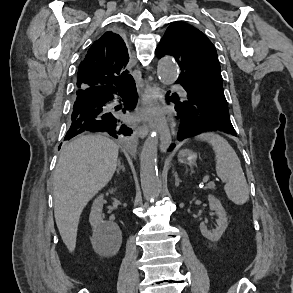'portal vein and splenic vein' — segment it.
I'll return each instance as SVG.
<instances>
[{
	"label": "portal vein and splenic vein",
	"instance_id": "obj_1",
	"mask_svg": "<svg viewBox=\"0 0 293 293\" xmlns=\"http://www.w3.org/2000/svg\"><path fill=\"white\" fill-rule=\"evenodd\" d=\"M208 181V177H205L204 179H203V182H207Z\"/></svg>",
	"mask_w": 293,
	"mask_h": 293
}]
</instances>
